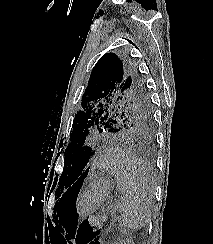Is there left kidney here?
I'll return each mask as SVG.
<instances>
[{
	"label": "left kidney",
	"instance_id": "left-kidney-1",
	"mask_svg": "<svg viewBox=\"0 0 213 244\" xmlns=\"http://www.w3.org/2000/svg\"><path fill=\"white\" fill-rule=\"evenodd\" d=\"M116 244H131L130 243V241H129V239H127L126 241H124V240H120L118 243H116Z\"/></svg>",
	"mask_w": 213,
	"mask_h": 244
}]
</instances>
